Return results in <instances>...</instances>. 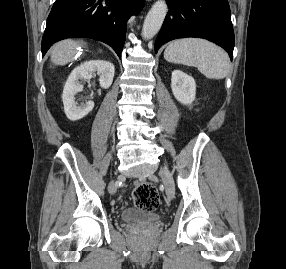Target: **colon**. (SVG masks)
Listing matches in <instances>:
<instances>
[{"instance_id": "obj_1", "label": "colon", "mask_w": 286, "mask_h": 269, "mask_svg": "<svg viewBox=\"0 0 286 269\" xmlns=\"http://www.w3.org/2000/svg\"><path fill=\"white\" fill-rule=\"evenodd\" d=\"M133 201L139 209L145 211H153L160 205V197L149 182H141L136 186Z\"/></svg>"}]
</instances>
